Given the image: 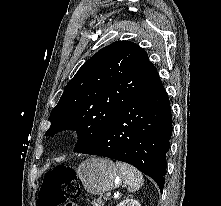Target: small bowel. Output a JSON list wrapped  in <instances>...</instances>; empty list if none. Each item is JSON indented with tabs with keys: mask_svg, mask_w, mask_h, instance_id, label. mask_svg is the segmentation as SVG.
<instances>
[{
	"mask_svg": "<svg viewBox=\"0 0 221 206\" xmlns=\"http://www.w3.org/2000/svg\"><path fill=\"white\" fill-rule=\"evenodd\" d=\"M65 206H78L76 203H68Z\"/></svg>",
	"mask_w": 221,
	"mask_h": 206,
	"instance_id": "small-bowel-1",
	"label": "small bowel"
}]
</instances>
